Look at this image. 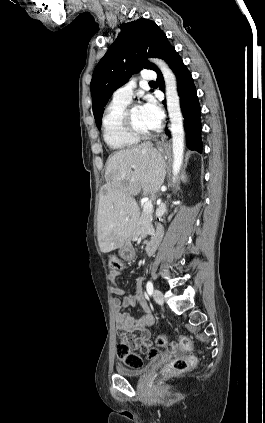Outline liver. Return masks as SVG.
Instances as JSON below:
<instances>
[{
    "label": "liver",
    "instance_id": "6515ba94",
    "mask_svg": "<svg viewBox=\"0 0 265 423\" xmlns=\"http://www.w3.org/2000/svg\"><path fill=\"white\" fill-rule=\"evenodd\" d=\"M166 175V163L151 142L122 149L106 162L105 194L98 208L101 252L118 249L129 238L139 215L135 200L141 191L155 194Z\"/></svg>",
    "mask_w": 265,
    "mask_h": 423
}]
</instances>
